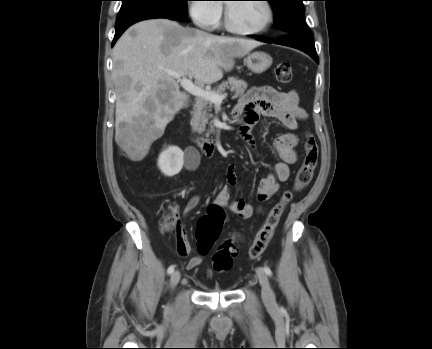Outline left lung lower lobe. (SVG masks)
Returning <instances> with one entry per match:
<instances>
[{
    "mask_svg": "<svg viewBox=\"0 0 432 349\" xmlns=\"http://www.w3.org/2000/svg\"><path fill=\"white\" fill-rule=\"evenodd\" d=\"M253 37L259 39L260 41L271 43V41L265 37H261V36H253ZM277 44L289 46L304 51L305 53L310 55L317 63H319L315 45L313 43L311 36L309 35L288 34L284 40L278 41Z\"/></svg>",
    "mask_w": 432,
    "mask_h": 349,
    "instance_id": "left-lung-lower-lobe-1",
    "label": "left lung lower lobe"
}]
</instances>
